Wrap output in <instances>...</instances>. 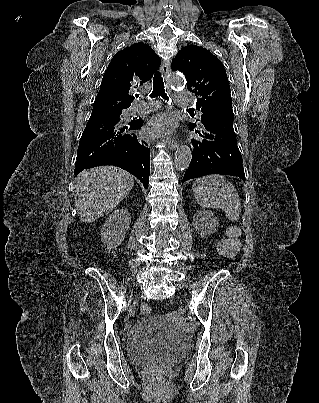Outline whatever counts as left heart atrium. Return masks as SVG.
Returning a JSON list of instances; mask_svg holds the SVG:
<instances>
[{"label": "left heart atrium", "instance_id": "39dd6f15", "mask_svg": "<svg viewBox=\"0 0 319 403\" xmlns=\"http://www.w3.org/2000/svg\"><path fill=\"white\" fill-rule=\"evenodd\" d=\"M174 130V121L167 114H161L153 118L147 126L149 135H168Z\"/></svg>", "mask_w": 319, "mask_h": 403}]
</instances>
